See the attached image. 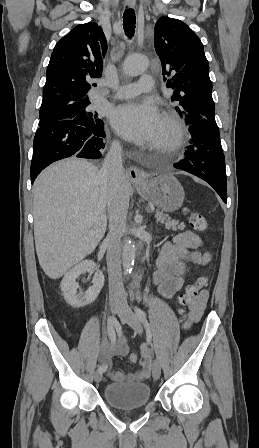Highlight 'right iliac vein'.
I'll return each instance as SVG.
<instances>
[{
  "label": "right iliac vein",
  "instance_id": "right-iliac-vein-1",
  "mask_svg": "<svg viewBox=\"0 0 259 448\" xmlns=\"http://www.w3.org/2000/svg\"><path fill=\"white\" fill-rule=\"evenodd\" d=\"M110 311L113 315H115L118 312V309L120 307V301L117 299H111L109 303ZM94 380L96 382H100L102 380V373L98 370L94 374Z\"/></svg>",
  "mask_w": 259,
  "mask_h": 448
}]
</instances>
